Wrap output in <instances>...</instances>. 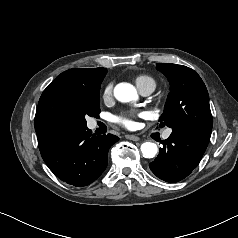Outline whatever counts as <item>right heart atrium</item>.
Segmentation results:
<instances>
[{
  "instance_id": "d8ad5b80",
  "label": "right heart atrium",
  "mask_w": 238,
  "mask_h": 238,
  "mask_svg": "<svg viewBox=\"0 0 238 238\" xmlns=\"http://www.w3.org/2000/svg\"><path fill=\"white\" fill-rule=\"evenodd\" d=\"M113 88H114V83L113 82H109L104 86L103 91H102V98L105 101H108L112 98Z\"/></svg>"
}]
</instances>
